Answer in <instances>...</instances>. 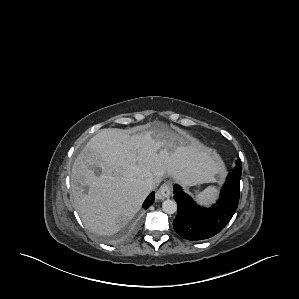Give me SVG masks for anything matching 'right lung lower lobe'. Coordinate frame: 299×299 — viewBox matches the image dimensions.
Masks as SVG:
<instances>
[{
	"label": "right lung lower lobe",
	"mask_w": 299,
	"mask_h": 299,
	"mask_svg": "<svg viewBox=\"0 0 299 299\" xmlns=\"http://www.w3.org/2000/svg\"><path fill=\"white\" fill-rule=\"evenodd\" d=\"M154 203V192H152L144 201L143 203V207H145L146 209L152 205Z\"/></svg>",
	"instance_id": "obj_1"
}]
</instances>
